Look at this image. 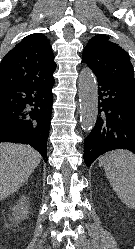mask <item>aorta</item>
Instances as JSON below:
<instances>
[{"mask_svg":"<svg viewBox=\"0 0 135 249\" xmlns=\"http://www.w3.org/2000/svg\"><path fill=\"white\" fill-rule=\"evenodd\" d=\"M80 100V121L82 129L90 131L95 126L98 115V92L94 74L84 68L78 79Z\"/></svg>","mask_w":135,"mask_h":249,"instance_id":"762f6f07","label":"aorta"}]
</instances>
